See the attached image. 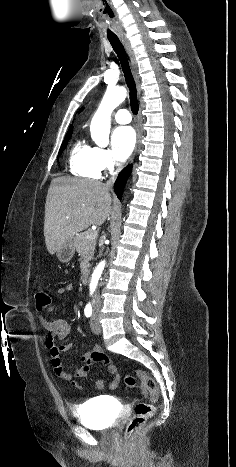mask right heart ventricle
I'll use <instances>...</instances> for the list:
<instances>
[{"mask_svg": "<svg viewBox=\"0 0 236 467\" xmlns=\"http://www.w3.org/2000/svg\"><path fill=\"white\" fill-rule=\"evenodd\" d=\"M69 170L77 177L98 179L101 172L94 161V147L82 140H77L69 155Z\"/></svg>", "mask_w": 236, "mask_h": 467, "instance_id": "right-heart-ventricle-1", "label": "right heart ventricle"}]
</instances>
